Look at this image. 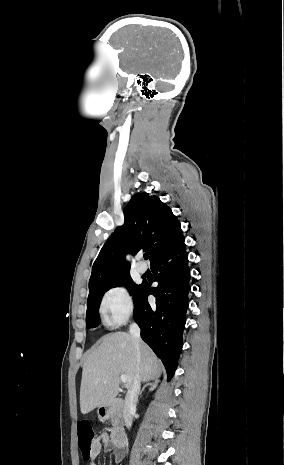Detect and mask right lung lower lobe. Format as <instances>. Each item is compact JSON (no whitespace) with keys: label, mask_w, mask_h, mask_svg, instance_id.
<instances>
[{"label":"right lung lower lobe","mask_w":284,"mask_h":465,"mask_svg":"<svg viewBox=\"0 0 284 465\" xmlns=\"http://www.w3.org/2000/svg\"><path fill=\"white\" fill-rule=\"evenodd\" d=\"M180 239L173 247L150 264L158 286L142 283L133 295L134 320L141 329L142 339L162 360L168 376L173 377L183 346V331L189 303L190 269L188 254ZM156 297L149 303L148 295Z\"/></svg>","instance_id":"1"}]
</instances>
